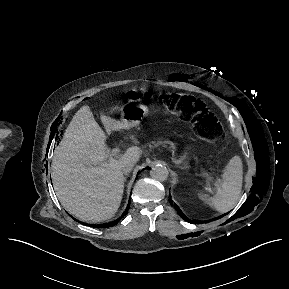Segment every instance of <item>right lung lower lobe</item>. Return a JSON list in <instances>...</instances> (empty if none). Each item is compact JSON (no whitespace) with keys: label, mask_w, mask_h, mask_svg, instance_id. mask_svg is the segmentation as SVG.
Segmentation results:
<instances>
[{"label":"right lung lower lobe","mask_w":289,"mask_h":289,"mask_svg":"<svg viewBox=\"0 0 289 289\" xmlns=\"http://www.w3.org/2000/svg\"><path fill=\"white\" fill-rule=\"evenodd\" d=\"M129 205H130V201H129V204H128L127 209L125 210V212L123 213V215H122L119 219H117V220H115V221H112V222H110V223H107V224L91 225V226H92V227H103V228H105V227H112V226L116 225V224L120 221V219H121L122 217H124V216L128 213Z\"/></svg>","instance_id":"98d812e1"}]
</instances>
